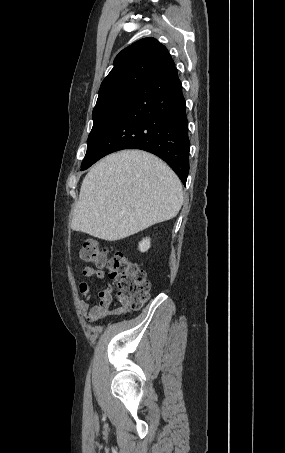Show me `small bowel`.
I'll return each mask as SVG.
<instances>
[{"label":"small bowel","instance_id":"1","mask_svg":"<svg viewBox=\"0 0 285 453\" xmlns=\"http://www.w3.org/2000/svg\"><path fill=\"white\" fill-rule=\"evenodd\" d=\"M82 274L88 278H105L103 270L92 267H85ZM112 291V286L110 284H106V286L98 292V302L95 305L90 306L89 301L92 298L91 288L87 282H79L78 292L81 295L79 307L82 314L88 321L94 322L108 315L109 306L112 301Z\"/></svg>","mask_w":285,"mask_h":453}]
</instances>
